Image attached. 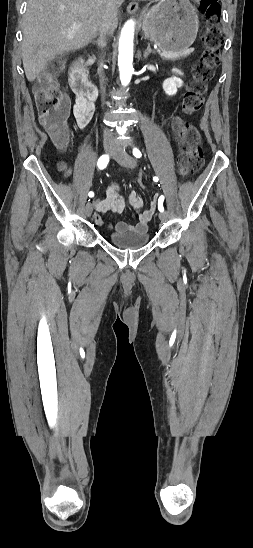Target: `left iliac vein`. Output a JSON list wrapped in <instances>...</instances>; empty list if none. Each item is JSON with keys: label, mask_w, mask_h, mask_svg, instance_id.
Returning <instances> with one entry per match:
<instances>
[{"label": "left iliac vein", "mask_w": 253, "mask_h": 548, "mask_svg": "<svg viewBox=\"0 0 253 548\" xmlns=\"http://www.w3.org/2000/svg\"><path fill=\"white\" fill-rule=\"evenodd\" d=\"M113 158L122 166L126 168H134L136 166V161L133 157H131L123 148H121L119 145L115 147V150L113 152ZM159 219L161 221H167L168 220V214L166 212H160L159 213Z\"/></svg>", "instance_id": "1"}]
</instances>
